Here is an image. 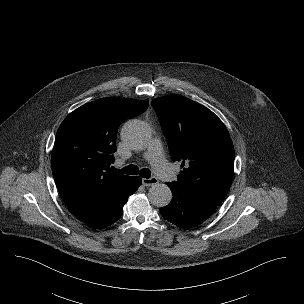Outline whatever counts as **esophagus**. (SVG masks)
I'll use <instances>...</instances> for the list:
<instances>
[{"label": "esophagus", "mask_w": 304, "mask_h": 304, "mask_svg": "<svg viewBox=\"0 0 304 304\" xmlns=\"http://www.w3.org/2000/svg\"><path fill=\"white\" fill-rule=\"evenodd\" d=\"M142 183L144 186H153L158 183V179L156 177L143 178Z\"/></svg>", "instance_id": "1"}]
</instances>
